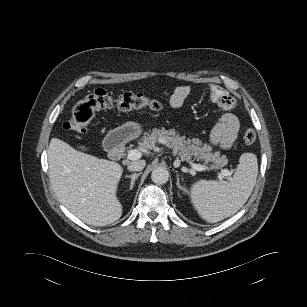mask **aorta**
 <instances>
[{"label": "aorta", "instance_id": "aorta-1", "mask_svg": "<svg viewBox=\"0 0 307 307\" xmlns=\"http://www.w3.org/2000/svg\"><path fill=\"white\" fill-rule=\"evenodd\" d=\"M151 179L155 184H165L169 179V172L164 167L155 168L151 173Z\"/></svg>", "mask_w": 307, "mask_h": 307}]
</instances>
